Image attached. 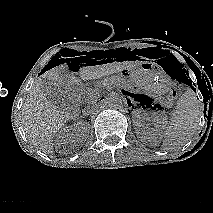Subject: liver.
Returning <instances> with one entry per match:
<instances>
[{
  "label": "liver",
  "mask_w": 213,
  "mask_h": 213,
  "mask_svg": "<svg viewBox=\"0 0 213 213\" xmlns=\"http://www.w3.org/2000/svg\"><path fill=\"white\" fill-rule=\"evenodd\" d=\"M139 63L127 61L81 67L79 75L82 80H95L116 72H121L124 69L132 68ZM67 69V64H62L46 71L28 92L22 107V125L24 131L30 142L45 154H52L54 152L53 138L55 134L64 126L68 119H74L76 115L70 114L67 111H60L53 105L43 93L41 82L43 79H49L58 86L67 89L73 83L67 80L68 76L63 74Z\"/></svg>",
  "instance_id": "6515ba94"
}]
</instances>
